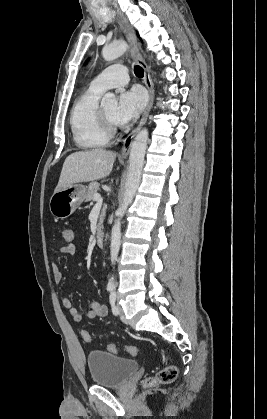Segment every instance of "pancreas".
I'll return each instance as SVG.
<instances>
[{
	"instance_id": "cf45deb5",
	"label": "pancreas",
	"mask_w": 267,
	"mask_h": 419,
	"mask_svg": "<svg viewBox=\"0 0 267 419\" xmlns=\"http://www.w3.org/2000/svg\"><path fill=\"white\" fill-rule=\"evenodd\" d=\"M99 190V183L98 182H91L88 186V190H87V194L85 197V201L86 202H92L94 200V195L98 193ZM103 217H104V210H102V213L100 215V221L98 226H101L102 221H103Z\"/></svg>"
}]
</instances>
